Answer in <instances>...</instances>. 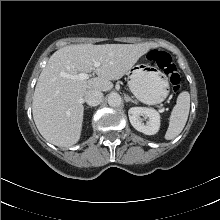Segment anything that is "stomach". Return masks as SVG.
<instances>
[{"instance_id":"1","label":"stomach","mask_w":220,"mask_h":220,"mask_svg":"<svg viewBox=\"0 0 220 220\" xmlns=\"http://www.w3.org/2000/svg\"><path fill=\"white\" fill-rule=\"evenodd\" d=\"M128 86L138 100L150 105L164 101L170 91L167 76L156 67L145 64L132 68Z\"/></svg>"}]
</instances>
